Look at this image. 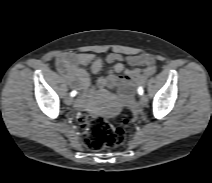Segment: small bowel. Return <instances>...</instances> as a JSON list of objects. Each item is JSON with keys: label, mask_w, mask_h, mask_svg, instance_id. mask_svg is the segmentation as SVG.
<instances>
[{"label": "small bowel", "mask_w": 212, "mask_h": 183, "mask_svg": "<svg viewBox=\"0 0 212 183\" xmlns=\"http://www.w3.org/2000/svg\"><path fill=\"white\" fill-rule=\"evenodd\" d=\"M125 62L131 68H126ZM105 64H111L112 67L98 78V87L118 89L127 94H131L156 70L155 59L149 54L123 57L119 53H111L103 58L91 53H62L56 58L58 71L72 87L83 91L76 102L78 108L85 107L93 94L90 74L83 67L90 65L92 74H98Z\"/></svg>", "instance_id": "c3829d8e"}]
</instances>
